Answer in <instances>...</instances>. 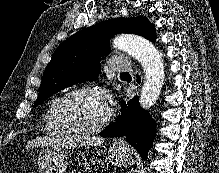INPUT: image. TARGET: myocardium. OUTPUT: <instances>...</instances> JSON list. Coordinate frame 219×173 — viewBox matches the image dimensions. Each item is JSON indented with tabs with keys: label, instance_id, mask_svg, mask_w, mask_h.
<instances>
[{
	"label": "myocardium",
	"instance_id": "f54148a6",
	"mask_svg": "<svg viewBox=\"0 0 219 173\" xmlns=\"http://www.w3.org/2000/svg\"><path fill=\"white\" fill-rule=\"evenodd\" d=\"M84 93L96 94L105 100L104 94L100 88L92 85H84V86L73 88L68 92H66L65 94H63L56 105L55 113H56V120L59 126L62 128L63 131H65L67 134L72 136L82 137V136H90L99 133L109 125L114 115L111 107H109L108 104H106L108 109L107 114L99 124L87 129L74 128L71 125H69L64 115L66 104L72 97Z\"/></svg>",
	"mask_w": 219,
	"mask_h": 173
}]
</instances>
